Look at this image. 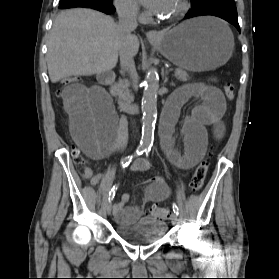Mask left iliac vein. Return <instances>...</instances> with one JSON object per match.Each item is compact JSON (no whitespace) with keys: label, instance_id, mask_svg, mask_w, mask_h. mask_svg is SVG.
Masks as SVG:
<instances>
[{"label":"left iliac vein","instance_id":"1","mask_svg":"<svg viewBox=\"0 0 279 279\" xmlns=\"http://www.w3.org/2000/svg\"><path fill=\"white\" fill-rule=\"evenodd\" d=\"M177 221H178V216L175 214V213H172L171 215V222L172 224H177Z\"/></svg>","mask_w":279,"mask_h":279}]
</instances>
